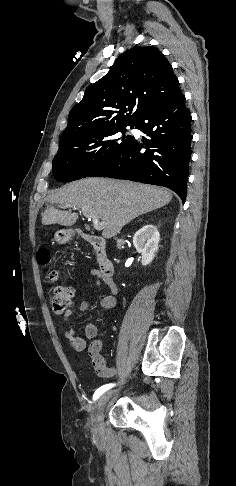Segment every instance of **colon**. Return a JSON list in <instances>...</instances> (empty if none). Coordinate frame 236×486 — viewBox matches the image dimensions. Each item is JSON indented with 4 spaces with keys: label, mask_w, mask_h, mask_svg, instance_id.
Instances as JSON below:
<instances>
[{
    "label": "colon",
    "mask_w": 236,
    "mask_h": 486,
    "mask_svg": "<svg viewBox=\"0 0 236 486\" xmlns=\"http://www.w3.org/2000/svg\"><path fill=\"white\" fill-rule=\"evenodd\" d=\"M39 259L42 264H47L50 261L49 252L45 249L41 250L39 253ZM48 280L52 283H57L59 281V272L56 270L50 271L48 274ZM72 298L73 289L71 287L57 284L50 290L52 309L56 313L64 312L70 306Z\"/></svg>",
    "instance_id": "obj_1"
}]
</instances>
